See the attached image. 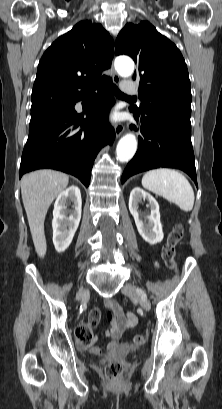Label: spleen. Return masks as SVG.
Returning a JSON list of instances; mask_svg holds the SVG:
<instances>
[{"mask_svg":"<svg viewBox=\"0 0 222 409\" xmlns=\"http://www.w3.org/2000/svg\"><path fill=\"white\" fill-rule=\"evenodd\" d=\"M142 186L175 203L185 212L192 210L194 206V191L186 177L180 172L160 168L150 170L142 178Z\"/></svg>","mask_w":222,"mask_h":409,"instance_id":"obj_1","label":"spleen"}]
</instances>
